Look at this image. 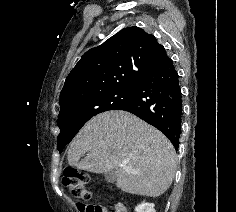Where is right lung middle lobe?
I'll return each instance as SVG.
<instances>
[{
  "label": "right lung middle lobe",
  "instance_id": "dd1d6c3e",
  "mask_svg": "<svg viewBox=\"0 0 236 212\" xmlns=\"http://www.w3.org/2000/svg\"><path fill=\"white\" fill-rule=\"evenodd\" d=\"M137 86L120 87L93 94L71 102L60 109L57 124L59 152L73 139L81 127L93 116L108 110H116L129 101Z\"/></svg>",
  "mask_w": 236,
  "mask_h": 212
}]
</instances>
